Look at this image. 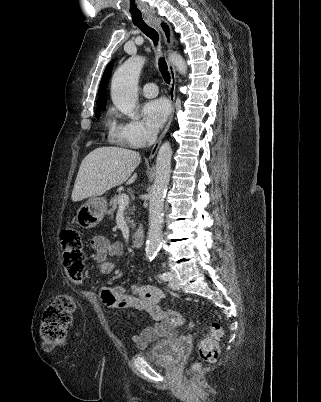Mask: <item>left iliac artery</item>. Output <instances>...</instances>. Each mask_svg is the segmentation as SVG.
I'll use <instances>...</instances> for the list:
<instances>
[{"label":"left iliac artery","instance_id":"left-iliac-artery-1","mask_svg":"<svg viewBox=\"0 0 321 402\" xmlns=\"http://www.w3.org/2000/svg\"><path fill=\"white\" fill-rule=\"evenodd\" d=\"M158 277H159L160 279L164 280V281L171 280V278H172V276H171V274H170L169 272L160 274V275H158Z\"/></svg>","mask_w":321,"mask_h":402}]
</instances>
